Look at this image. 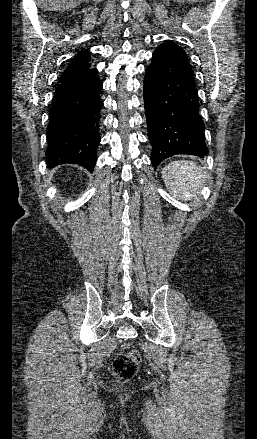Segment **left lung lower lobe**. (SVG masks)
Segmentation results:
<instances>
[{"label":"left lung lower lobe","mask_w":257,"mask_h":439,"mask_svg":"<svg viewBox=\"0 0 257 439\" xmlns=\"http://www.w3.org/2000/svg\"><path fill=\"white\" fill-rule=\"evenodd\" d=\"M145 73L143 98L154 168L176 154L203 158L208 154L205 125L194 73L183 49L165 41L155 49Z\"/></svg>","instance_id":"0a47b994"}]
</instances>
